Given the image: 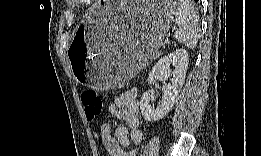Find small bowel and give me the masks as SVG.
<instances>
[{
	"mask_svg": "<svg viewBox=\"0 0 261 156\" xmlns=\"http://www.w3.org/2000/svg\"><path fill=\"white\" fill-rule=\"evenodd\" d=\"M109 112L124 121L126 126L115 128L112 134V125L103 123L99 131L102 145L110 156H136L143 140L136 89L128 90L115 98L109 106ZM132 145L135 147L132 148Z\"/></svg>",
	"mask_w": 261,
	"mask_h": 156,
	"instance_id": "small-bowel-1",
	"label": "small bowel"
}]
</instances>
